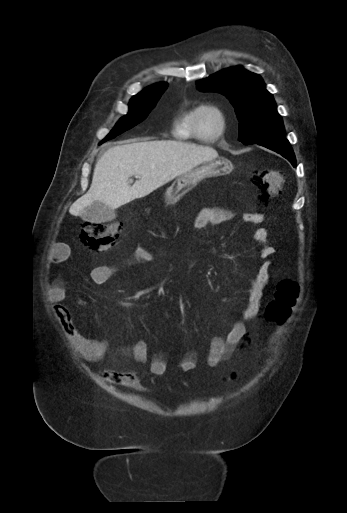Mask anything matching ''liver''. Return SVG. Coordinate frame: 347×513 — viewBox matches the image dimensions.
<instances>
[{
    "label": "liver",
    "mask_w": 347,
    "mask_h": 513,
    "mask_svg": "<svg viewBox=\"0 0 347 513\" xmlns=\"http://www.w3.org/2000/svg\"><path fill=\"white\" fill-rule=\"evenodd\" d=\"M217 157L211 147L173 140L113 146L97 161L90 189L70 206L69 212L79 216L95 201L117 209ZM131 176L138 178L132 186Z\"/></svg>",
    "instance_id": "obj_1"
}]
</instances>
